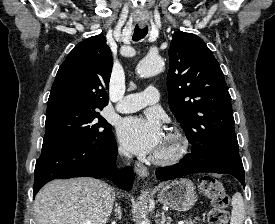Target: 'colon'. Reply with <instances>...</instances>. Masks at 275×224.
Here are the masks:
<instances>
[{"label":"colon","instance_id":"1","mask_svg":"<svg viewBox=\"0 0 275 224\" xmlns=\"http://www.w3.org/2000/svg\"><path fill=\"white\" fill-rule=\"evenodd\" d=\"M200 191L207 196L213 205L208 214V224H227L229 205V195L225 191L222 183L216 178L205 176L200 184Z\"/></svg>","mask_w":275,"mask_h":224}]
</instances>
